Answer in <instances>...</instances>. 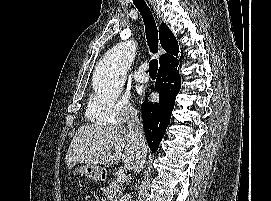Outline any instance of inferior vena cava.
I'll list each match as a JSON object with an SVG mask.
<instances>
[{
	"label": "inferior vena cava",
	"mask_w": 271,
	"mask_h": 201,
	"mask_svg": "<svg viewBox=\"0 0 271 201\" xmlns=\"http://www.w3.org/2000/svg\"><path fill=\"white\" fill-rule=\"evenodd\" d=\"M129 135L131 136L133 142L137 146V160L134 166V172L139 173L144 168L146 161V139L144 135V128L142 122L139 120L137 113L133 112L130 114L127 120Z\"/></svg>",
	"instance_id": "1"
}]
</instances>
